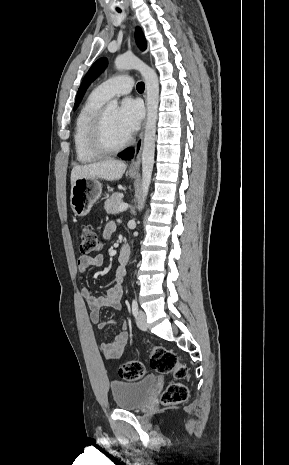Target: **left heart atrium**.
Returning a JSON list of instances; mask_svg holds the SVG:
<instances>
[{"instance_id":"left-heart-atrium-1","label":"left heart atrium","mask_w":289,"mask_h":465,"mask_svg":"<svg viewBox=\"0 0 289 465\" xmlns=\"http://www.w3.org/2000/svg\"><path fill=\"white\" fill-rule=\"evenodd\" d=\"M142 118L143 107L138 100L126 98L117 109L120 129L127 138H130L138 130Z\"/></svg>"}]
</instances>
